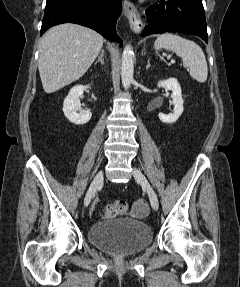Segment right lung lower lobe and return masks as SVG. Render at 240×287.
Listing matches in <instances>:
<instances>
[{"label":"right lung lower lobe","instance_id":"right-lung-lower-lobe-1","mask_svg":"<svg viewBox=\"0 0 240 287\" xmlns=\"http://www.w3.org/2000/svg\"><path fill=\"white\" fill-rule=\"evenodd\" d=\"M121 12V0H47L41 35L54 25L70 22L122 43L116 33V22Z\"/></svg>","mask_w":240,"mask_h":287}]
</instances>
